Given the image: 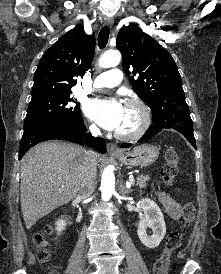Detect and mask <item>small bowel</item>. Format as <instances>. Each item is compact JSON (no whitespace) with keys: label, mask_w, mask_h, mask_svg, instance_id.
<instances>
[{"label":"small bowel","mask_w":221,"mask_h":274,"mask_svg":"<svg viewBox=\"0 0 221 274\" xmlns=\"http://www.w3.org/2000/svg\"><path fill=\"white\" fill-rule=\"evenodd\" d=\"M155 195L163 205L166 213L170 216V218L174 220L180 218L182 214V207L176 201H174L168 194L162 191H156Z\"/></svg>","instance_id":"small-bowel-1"}]
</instances>
